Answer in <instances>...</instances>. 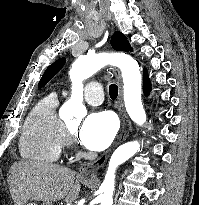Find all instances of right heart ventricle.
Instances as JSON below:
<instances>
[{
	"label": "right heart ventricle",
	"instance_id": "e07e8e85",
	"mask_svg": "<svg viewBox=\"0 0 199 205\" xmlns=\"http://www.w3.org/2000/svg\"><path fill=\"white\" fill-rule=\"evenodd\" d=\"M58 99L51 93L30 111L24 123L19 149L23 158L44 164L55 163L65 144L64 124L57 115Z\"/></svg>",
	"mask_w": 199,
	"mask_h": 205
}]
</instances>
